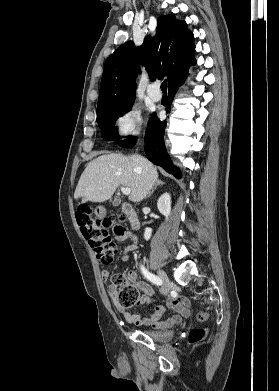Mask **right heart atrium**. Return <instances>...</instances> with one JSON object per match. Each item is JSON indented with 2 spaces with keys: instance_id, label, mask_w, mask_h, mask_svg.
Wrapping results in <instances>:
<instances>
[{
  "instance_id": "d8ad5b80",
  "label": "right heart atrium",
  "mask_w": 279,
  "mask_h": 391,
  "mask_svg": "<svg viewBox=\"0 0 279 391\" xmlns=\"http://www.w3.org/2000/svg\"><path fill=\"white\" fill-rule=\"evenodd\" d=\"M114 125L119 137L127 138L134 136L141 129V112L136 107H129L116 117Z\"/></svg>"
}]
</instances>
